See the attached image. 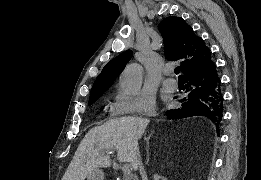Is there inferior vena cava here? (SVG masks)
<instances>
[{"mask_svg": "<svg viewBox=\"0 0 261 180\" xmlns=\"http://www.w3.org/2000/svg\"><path fill=\"white\" fill-rule=\"evenodd\" d=\"M136 166H137V168H141V166H142L139 154L137 156V164H136Z\"/></svg>", "mask_w": 261, "mask_h": 180, "instance_id": "602c4592", "label": "inferior vena cava"}]
</instances>
